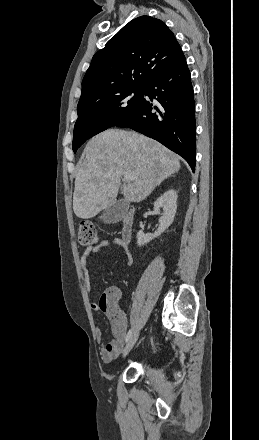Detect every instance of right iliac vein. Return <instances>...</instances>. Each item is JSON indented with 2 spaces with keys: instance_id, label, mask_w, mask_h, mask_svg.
Here are the masks:
<instances>
[{
  "instance_id": "obj_1",
  "label": "right iliac vein",
  "mask_w": 259,
  "mask_h": 440,
  "mask_svg": "<svg viewBox=\"0 0 259 440\" xmlns=\"http://www.w3.org/2000/svg\"><path fill=\"white\" fill-rule=\"evenodd\" d=\"M139 333H140L139 328H136L134 330V332L132 333V335H131L130 339L128 340V343L124 349L123 358H125L129 354L131 349L133 348L134 344L136 343V341L139 337Z\"/></svg>"
}]
</instances>
